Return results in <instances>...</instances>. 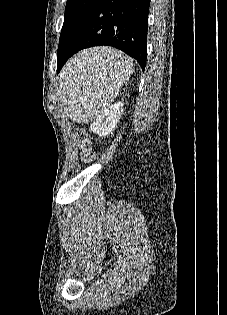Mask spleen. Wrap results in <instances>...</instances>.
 <instances>
[{"mask_svg": "<svg viewBox=\"0 0 227 315\" xmlns=\"http://www.w3.org/2000/svg\"><path fill=\"white\" fill-rule=\"evenodd\" d=\"M131 74L132 60L116 49L82 51L60 75L59 95L67 115L84 123L95 120Z\"/></svg>", "mask_w": 227, "mask_h": 315, "instance_id": "3e777b00", "label": "spleen"}]
</instances>
